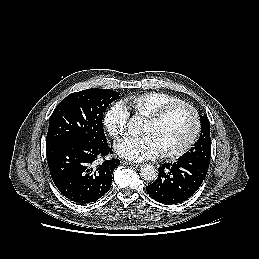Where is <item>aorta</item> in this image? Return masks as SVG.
<instances>
[{
  "label": "aorta",
  "mask_w": 259,
  "mask_h": 259,
  "mask_svg": "<svg viewBox=\"0 0 259 259\" xmlns=\"http://www.w3.org/2000/svg\"><path fill=\"white\" fill-rule=\"evenodd\" d=\"M140 125H141L140 117L133 116L127 124L128 132L131 135L138 134L141 129ZM140 175H141V178L145 181H153L157 178L158 171L155 166L147 164L140 169Z\"/></svg>",
  "instance_id": "obj_1"
}]
</instances>
